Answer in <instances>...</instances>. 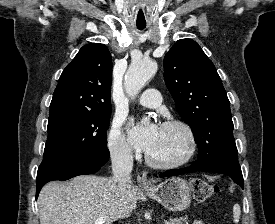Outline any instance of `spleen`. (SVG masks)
<instances>
[{
    "label": "spleen",
    "instance_id": "3e777b00",
    "mask_svg": "<svg viewBox=\"0 0 275 224\" xmlns=\"http://www.w3.org/2000/svg\"><path fill=\"white\" fill-rule=\"evenodd\" d=\"M240 215H241V209L240 206L238 204L234 205L233 207V218H234V222L238 223L239 219H240Z\"/></svg>",
    "mask_w": 275,
    "mask_h": 224
}]
</instances>
